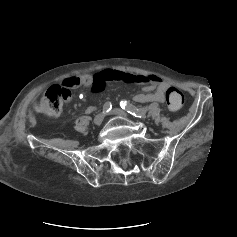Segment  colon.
<instances>
[{"label":"colon","instance_id":"5ec220e1","mask_svg":"<svg viewBox=\"0 0 237 237\" xmlns=\"http://www.w3.org/2000/svg\"><path fill=\"white\" fill-rule=\"evenodd\" d=\"M76 81H64L62 86H51L33 106L35 112L45 116H55L62 110L63 103L71 96L70 89L75 87ZM166 103L171 111H178L183 103V94L175 87L166 91Z\"/></svg>","mask_w":237,"mask_h":237}]
</instances>
